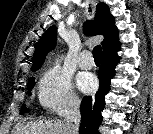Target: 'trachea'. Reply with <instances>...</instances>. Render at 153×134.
Wrapping results in <instances>:
<instances>
[{"label":"trachea","mask_w":153,"mask_h":134,"mask_svg":"<svg viewBox=\"0 0 153 134\" xmlns=\"http://www.w3.org/2000/svg\"><path fill=\"white\" fill-rule=\"evenodd\" d=\"M101 46L97 45L94 47L92 53H93V58L95 61H100L101 59Z\"/></svg>","instance_id":"1"}]
</instances>
